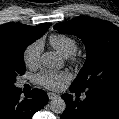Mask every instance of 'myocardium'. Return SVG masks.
<instances>
[{
	"instance_id": "1",
	"label": "myocardium",
	"mask_w": 119,
	"mask_h": 119,
	"mask_svg": "<svg viewBox=\"0 0 119 119\" xmlns=\"http://www.w3.org/2000/svg\"><path fill=\"white\" fill-rule=\"evenodd\" d=\"M78 60H79V59H78L76 56H72V57H71V62H72V63H77Z\"/></svg>"
}]
</instances>
